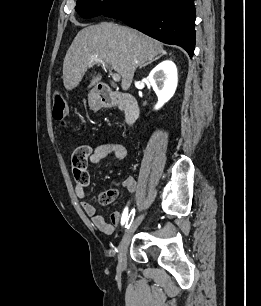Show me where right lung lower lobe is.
<instances>
[{"label": "right lung lower lobe", "instance_id": "1", "mask_svg": "<svg viewBox=\"0 0 261 306\" xmlns=\"http://www.w3.org/2000/svg\"><path fill=\"white\" fill-rule=\"evenodd\" d=\"M103 15L166 44L178 45L193 56L196 18L193 0H126Z\"/></svg>", "mask_w": 261, "mask_h": 306}]
</instances>
